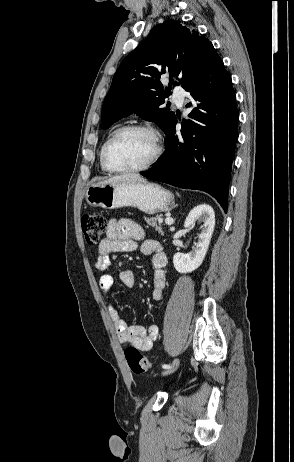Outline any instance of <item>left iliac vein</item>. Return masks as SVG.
I'll return each mask as SVG.
<instances>
[{
    "mask_svg": "<svg viewBox=\"0 0 294 462\" xmlns=\"http://www.w3.org/2000/svg\"><path fill=\"white\" fill-rule=\"evenodd\" d=\"M179 363H180V359L179 358H176L174 359V361L172 362L171 364V368L169 369H166L165 371H163V375H168V374H171L173 373L179 366Z\"/></svg>",
    "mask_w": 294,
    "mask_h": 462,
    "instance_id": "left-iliac-vein-1",
    "label": "left iliac vein"
}]
</instances>
